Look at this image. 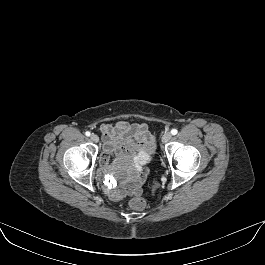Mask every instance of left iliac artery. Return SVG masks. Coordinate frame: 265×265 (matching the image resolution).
I'll return each mask as SVG.
<instances>
[{
	"mask_svg": "<svg viewBox=\"0 0 265 265\" xmlns=\"http://www.w3.org/2000/svg\"><path fill=\"white\" fill-rule=\"evenodd\" d=\"M177 133H178L177 129H172V130H171V134H172V135H176Z\"/></svg>",
	"mask_w": 265,
	"mask_h": 265,
	"instance_id": "1",
	"label": "left iliac artery"
}]
</instances>
